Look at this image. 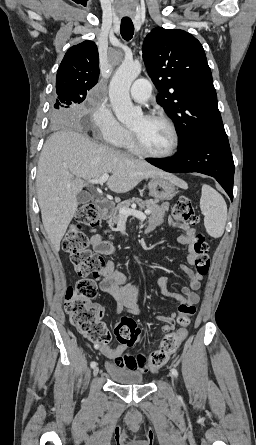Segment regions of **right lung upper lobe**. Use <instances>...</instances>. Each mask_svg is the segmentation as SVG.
<instances>
[{
  "label": "right lung upper lobe",
  "instance_id": "right-lung-upper-lobe-1",
  "mask_svg": "<svg viewBox=\"0 0 256 445\" xmlns=\"http://www.w3.org/2000/svg\"><path fill=\"white\" fill-rule=\"evenodd\" d=\"M98 65V50L94 42L84 41L72 46L58 68L56 92L71 91L86 98V92L98 82Z\"/></svg>",
  "mask_w": 256,
  "mask_h": 445
}]
</instances>
